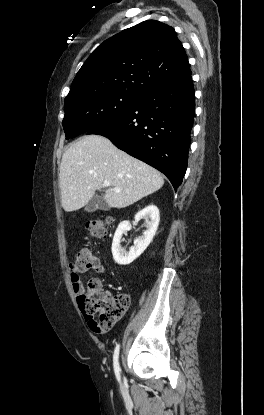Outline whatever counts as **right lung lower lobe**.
<instances>
[{
  "label": "right lung lower lobe",
  "mask_w": 264,
  "mask_h": 415,
  "mask_svg": "<svg viewBox=\"0 0 264 415\" xmlns=\"http://www.w3.org/2000/svg\"><path fill=\"white\" fill-rule=\"evenodd\" d=\"M195 96L191 75L152 89L119 117L87 132L153 166L179 187L187 169Z\"/></svg>",
  "instance_id": "obj_1"
}]
</instances>
